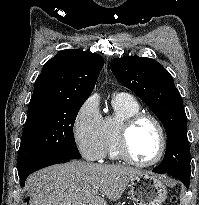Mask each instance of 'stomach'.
Here are the masks:
<instances>
[{
    "label": "stomach",
    "mask_w": 199,
    "mask_h": 205,
    "mask_svg": "<svg viewBox=\"0 0 199 205\" xmlns=\"http://www.w3.org/2000/svg\"><path fill=\"white\" fill-rule=\"evenodd\" d=\"M129 187L131 198L137 205H162L167 198L166 186L147 173L134 176Z\"/></svg>",
    "instance_id": "1"
}]
</instances>
